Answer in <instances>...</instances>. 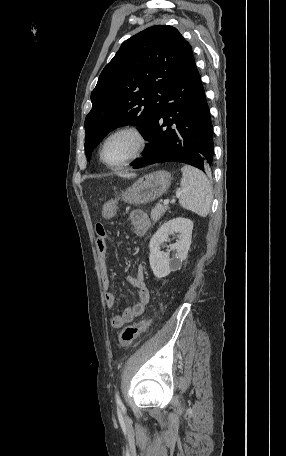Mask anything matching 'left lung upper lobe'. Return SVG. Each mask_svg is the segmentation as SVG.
Masks as SVG:
<instances>
[{"label":"left lung upper lobe","mask_w":286,"mask_h":456,"mask_svg":"<svg viewBox=\"0 0 286 456\" xmlns=\"http://www.w3.org/2000/svg\"><path fill=\"white\" fill-rule=\"evenodd\" d=\"M194 60L179 31L157 25L132 36L101 72L85 119V153L113 129L132 124L146 138L172 85Z\"/></svg>","instance_id":"5c2ea615"}]
</instances>
